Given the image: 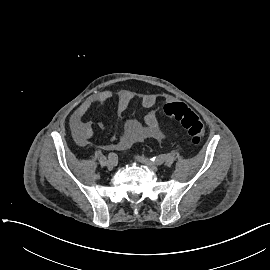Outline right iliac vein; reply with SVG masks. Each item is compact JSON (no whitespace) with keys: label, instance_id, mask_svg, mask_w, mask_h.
<instances>
[{"label":"right iliac vein","instance_id":"obj_1","mask_svg":"<svg viewBox=\"0 0 270 270\" xmlns=\"http://www.w3.org/2000/svg\"><path fill=\"white\" fill-rule=\"evenodd\" d=\"M106 165H107V168H108L109 170H113L116 164H115V162H113V161H111V160H108V161L106 162Z\"/></svg>","mask_w":270,"mask_h":270}]
</instances>
